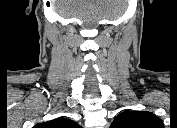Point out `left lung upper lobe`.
Listing matches in <instances>:
<instances>
[{"instance_id": "obj_1", "label": "left lung upper lobe", "mask_w": 177, "mask_h": 128, "mask_svg": "<svg viewBox=\"0 0 177 128\" xmlns=\"http://www.w3.org/2000/svg\"><path fill=\"white\" fill-rule=\"evenodd\" d=\"M161 120L147 111H125L119 114L110 128H162Z\"/></svg>"}]
</instances>
